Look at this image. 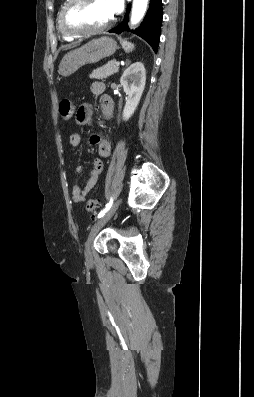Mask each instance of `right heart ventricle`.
<instances>
[{"label": "right heart ventricle", "instance_id": "obj_1", "mask_svg": "<svg viewBox=\"0 0 254 397\" xmlns=\"http://www.w3.org/2000/svg\"><path fill=\"white\" fill-rule=\"evenodd\" d=\"M60 15V14H59ZM58 29H59V31H60V34H61V36H62V38L64 39V40H66V41H72V40H74L76 37H74V36H69V35H67V34H65L61 29H60V26H59V17H58Z\"/></svg>", "mask_w": 254, "mask_h": 397}]
</instances>
